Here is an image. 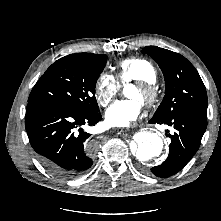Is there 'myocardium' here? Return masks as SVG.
Here are the masks:
<instances>
[{
	"mask_svg": "<svg viewBox=\"0 0 221 221\" xmlns=\"http://www.w3.org/2000/svg\"><path fill=\"white\" fill-rule=\"evenodd\" d=\"M134 85L141 93V100L145 105L151 106L157 102L159 93L154 83L139 80Z\"/></svg>",
	"mask_w": 221,
	"mask_h": 221,
	"instance_id": "1",
	"label": "myocardium"
}]
</instances>
